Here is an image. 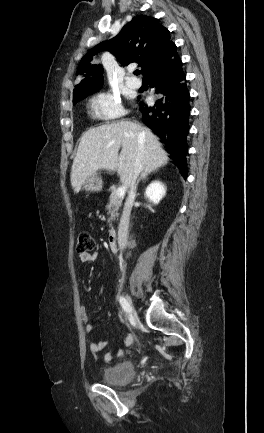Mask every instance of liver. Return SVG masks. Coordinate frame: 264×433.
Instances as JSON below:
<instances>
[{
    "label": "liver",
    "instance_id": "1",
    "mask_svg": "<svg viewBox=\"0 0 264 433\" xmlns=\"http://www.w3.org/2000/svg\"><path fill=\"white\" fill-rule=\"evenodd\" d=\"M140 133L143 136L140 137ZM121 152L119 154V149ZM141 153L143 172L151 173L168 162L158 137L135 122L121 120L86 131L80 140L71 170V185L78 193L85 180L100 169L117 171L126 188Z\"/></svg>",
    "mask_w": 264,
    "mask_h": 433
}]
</instances>
